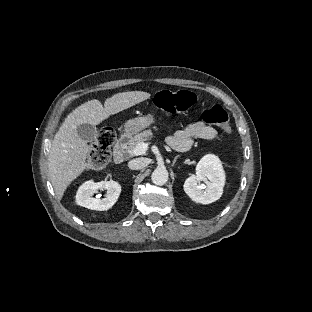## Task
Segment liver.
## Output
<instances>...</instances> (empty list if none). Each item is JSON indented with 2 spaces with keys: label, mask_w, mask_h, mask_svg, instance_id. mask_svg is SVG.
Listing matches in <instances>:
<instances>
[{
  "label": "liver",
  "mask_w": 312,
  "mask_h": 312,
  "mask_svg": "<svg viewBox=\"0 0 312 312\" xmlns=\"http://www.w3.org/2000/svg\"><path fill=\"white\" fill-rule=\"evenodd\" d=\"M151 97L145 91H125L105 100L104 106L97 99L89 100L75 108L64 120L56 133L48 156V172L59 200H62L69 185L88 167L90 151L88 143L77 134L81 124L100 125L116 115Z\"/></svg>",
  "instance_id": "6515ba94"
}]
</instances>
